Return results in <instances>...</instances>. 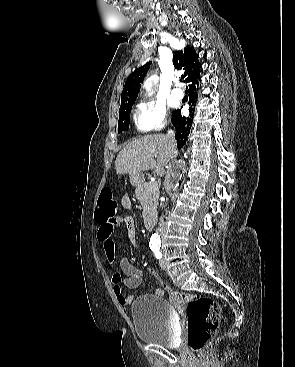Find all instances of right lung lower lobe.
Wrapping results in <instances>:
<instances>
[{
    "mask_svg": "<svg viewBox=\"0 0 295 367\" xmlns=\"http://www.w3.org/2000/svg\"><path fill=\"white\" fill-rule=\"evenodd\" d=\"M197 91L198 85L191 88L189 93L190 98V108H189V116L185 117L181 115V109L175 110L172 112L171 122L176 128L175 138L177 140V145L179 148L183 147L187 141L188 134L190 132V126L193 122V112H194V105L197 99Z\"/></svg>",
    "mask_w": 295,
    "mask_h": 367,
    "instance_id": "obj_1",
    "label": "right lung lower lobe"
}]
</instances>
